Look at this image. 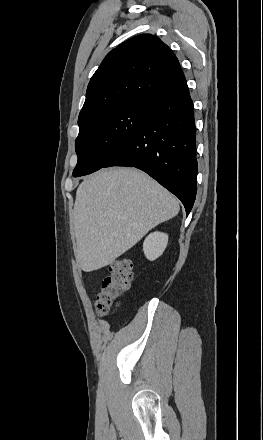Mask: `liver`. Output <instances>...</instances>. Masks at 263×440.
<instances>
[{
	"label": "liver",
	"instance_id": "obj_1",
	"mask_svg": "<svg viewBox=\"0 0 263 440\" xmlns=\"http://www.w3.org/2000/svg\"><path fill=\"white\" fill-rule=\"evenodd\" d=\"M179 209L171 193L134 168L102 170L85 179L73 210L79 267L91 272L111 264Z\"/></svg>",
	"mask_w": 263,
	"mask_h": 440
}]
</instances>
